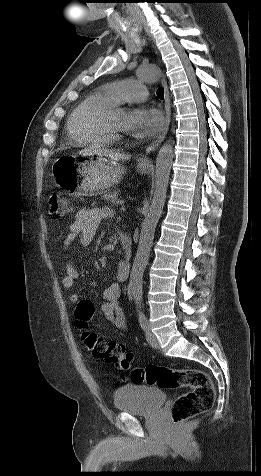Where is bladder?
<instances>
[{
	"label": "bladder",
	"instance_id": "31cf9c89",
	"mask_svg": "<svg viewBox=\"0 0 261 476\" xmlns=\"http://www.w3.org/2000/svg\"><path fill=\"white\" fill-rule=\"evenodd\" d=\"M165 392L156 386L133 384L117 389L113 396L116 409L131 415H150L163 405Z\"/></svg>",
	"mask_w": 261,
	"mask_h": 476
}]
</instances>
